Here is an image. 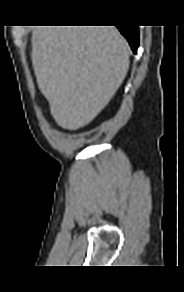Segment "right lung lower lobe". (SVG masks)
Instances as JSON below:
<instances>
[{
	"mask_svg": "<svg viewBox=\"0 0 184 292\" xmlns=\"http://www.w3.org/2000/svg\"><path fill=\"white\" fill-rule=\"evenodd\" d=\"M119 31L125 38L128 40L131 49L134 53L137 52V48L139 45V31L137 26H117Z\"/></svg>",
	"mask_w": 184,
	"mask_h": 292,
	"instance_id": "obj_1",
	"label": "right lung lower lobe"
}]
</instances>
